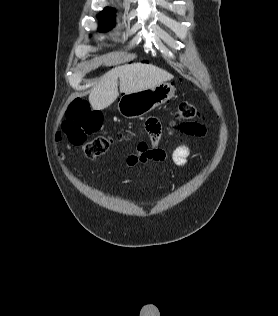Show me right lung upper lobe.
Here are the masks:
<instances>
[{
    "label": "right lung upper lobe",
    "mask_w": 278,
    "mask_h": 316,
    "mask_svg": "<svg viewBox=\"0 0 278 316\" xmlns=\"http://www.w3.org/2000/svg\"><path fill=\"white\" fill-rule=\"evenodd\" d=\"M111 10L114 11L113 9H110V8H105L104 9V11H107V12H111Z\"/></svg>",
    "instance_id": "cb5924a9"
}]
</instances>
